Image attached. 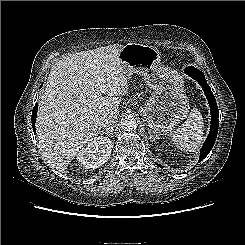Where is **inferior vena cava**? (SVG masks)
Masks as SVG:
<instances>
[{"label":"inferior vena cava","mask_w":245,"mask_h":245,"mask_svg":"<svg viewBox=\"0 0 245 245\" xmlns=\"http://www.w3.org/2000/svg\"><path fill=\"white\" fill-rule=\"evenodd\" d=\"M117 125V117L116 116H105L101 122V128L108 130H113Z\"/></svg>","instance_id":"602c4592"}]
</instances>
